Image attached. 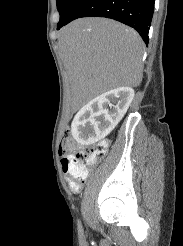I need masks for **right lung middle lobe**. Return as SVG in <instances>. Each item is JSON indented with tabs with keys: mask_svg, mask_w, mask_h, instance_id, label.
<instances>
[{
	"mask_svg": "<svg viewBox=\"0 0 183 246\" xmlns=\"http://www.w3.org/2000/svg\"><path fill=\"white\" fill-rule=\"evenodd\" d=\"M79 0H57V9L60 14V21L58 24L66 21L73 11L75 5Z\"/></svg>",
	"mask_w": 183,
	"mask_h": 246,
	"instance_id": "right-lung-middle-lobe-1",
	"label": "right lung middle lobe"
}]
</instances>
